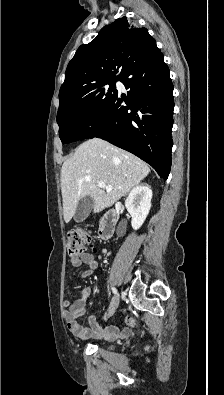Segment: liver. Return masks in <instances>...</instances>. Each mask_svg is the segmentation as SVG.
<instances>
[{
    "instance_id": "obj_1",
    "label": "liver",
    "mask_w": 224,
    "mask_h": 395,
    "mask_svg": "<svg viewBox=\"0 0 224 395\" xmlns=\"http://www.w3.org/2000/svg\"><path fill=\"white\" fill-rule=\"evenodd\" d=\"M150 173L149 166L135 155L99 138L77 147L61 169L64 220L75 215L78 202L86 196L94 200V212L111 207ZM98 182L112 186L111 191Z\"/></svg>"
}]
</instances>
